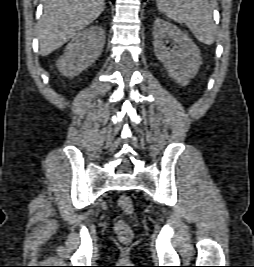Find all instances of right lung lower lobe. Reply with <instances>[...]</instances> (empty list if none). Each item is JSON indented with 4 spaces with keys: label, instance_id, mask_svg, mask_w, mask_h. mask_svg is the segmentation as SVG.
Segmentation results:
<instances>
[{
    "label": "right lung lower lobe",
    "instance_id": "1",
    "mask_svg": "<svg viewBox=\"0 0 254 267\" xmlns=\"http://www.w3.org/2000/svg\"><path fill=\"white\" fill-rule=\"evenodd\" d=\"M113 3L115 2V0H111Z\"/></svg>",
    "mask_w": 254,
    "mask_h": 267
}]
</instances>
